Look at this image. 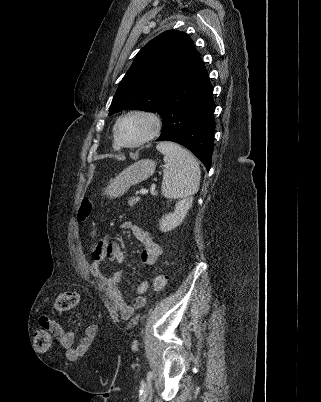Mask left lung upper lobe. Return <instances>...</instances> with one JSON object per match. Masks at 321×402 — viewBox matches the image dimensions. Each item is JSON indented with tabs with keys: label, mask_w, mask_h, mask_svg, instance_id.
I'll return each instance as SVG.
<instances>
[{
	"label": "left lung upper lobe",
	"mask_w": 321,
	"mask_h": 402,
	"mask_svg": "<svg viewBox=\"0 0 321 402\" xmlns=\"http://www.w3.org/2000/svg\"><path fill=\"white\" fill-rule=\"evenodd\" d=\"M200 61L193 41L185 33H161L136 55L119 84L109 114L126 109L160 114L168 94Z\"/></svg>",
	"instance_id": "5c2ea615"
}]
</instances>
